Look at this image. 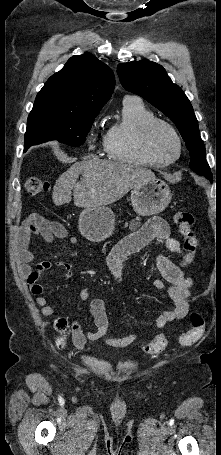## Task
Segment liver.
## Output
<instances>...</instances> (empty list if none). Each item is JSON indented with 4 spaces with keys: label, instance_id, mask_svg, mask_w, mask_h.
<instances>
[{
    "label": "liver",
    "instance_id": "obj_1",
    "mask_svg": "<svg viewBox=\"0 0 221 455\" xmlns=\"http://www.w3.org/2000/svg\"><path fill=\"white\" fill-rule=\"evenodd\" d=\"M83 179L77 183L79 175ZM146 168L99 160L97 158L73 164L61 174L53 187L52 199L56 206L69 203L82 208L112 204L140 182L154 178Z\"/></svg>",
    "mask_w": 221,
    "mask_h": 455
}]
</instances>
